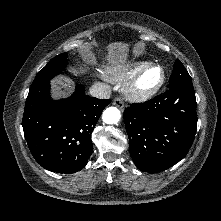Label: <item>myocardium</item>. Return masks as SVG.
<instances>
[{
	"label": "myocardium",
	"mask_w": 221,
	"mask_h": 221,
	"mask_svg": "<svg viewBox=\"0 0 221 221\" xmlns=\"http://www.w3.org/2000/svg\"><path fill=\"white\" fill-rule=\"evenodd\" d=\"M159 69L160 78L157 83L153 85H145L143 79L145 75L152 69ZM166 80V73L164 68L155 63H150L138 71L129 81L126 86L125 94L129 99L134 100H148L155 96L163 87Z\"/></svg>",
	"instance_id": "1"
}]
</instances>
